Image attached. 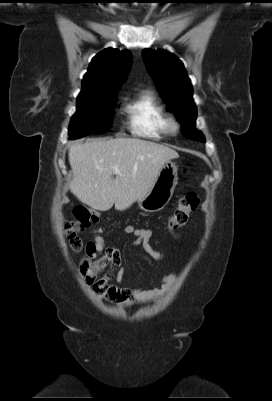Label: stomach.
Instances as JSON below:
<instances>
[{"label":"stomach","mask_w":272,"mask_h":401,"mask_svg":"<svg viewBox=\"0 0 272 401\" xmlns=\"http://www.w3.org/2000/svg\"><path fill=\"white\" fill-rule=\"evenodd\" d=\"M177 170V166L171 160L162 166L149 191L138 200V205L143 211H160L168 204L178 183Z\"/></svg>","instance_id":"1"}]
</instances>
